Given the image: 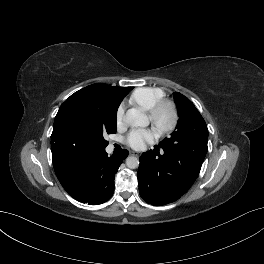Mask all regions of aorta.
I'll return each instance as SVG.
<instances>
[{
  "label": "aorta",
  "instance_id": "obj_1",
  "mask_svg": "<svg viewBox=\"0 0 264 264\" xmlns=\"http://www.w3.org/2000/svg\"><path fill=\"white\" fill-rule=\"evenodd\" d=\"M126 124L130 126L146 127L149 124L147 116L136 109H129L124 117ZM126 165L130 169H135L139 166V160L137 157L129 156L126 159Z\"/></svg>",
  "mask_w": 264,
  "mask_h": 264
}]
</instances>
